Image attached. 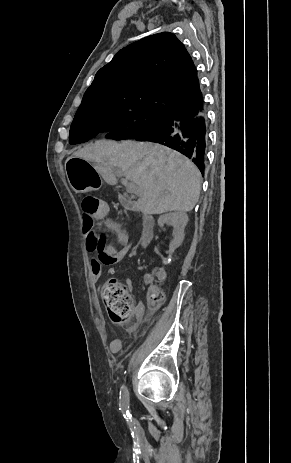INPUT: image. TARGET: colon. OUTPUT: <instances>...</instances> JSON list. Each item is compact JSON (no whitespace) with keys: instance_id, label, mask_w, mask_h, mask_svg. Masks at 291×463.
I'll use <instances>...</instances> for the list:
<instances>
[{"instance_id":"5ec220e1","label":"colon","mask_w":291,"mask_h":463,"mask_svg":"<svg viewBox=\"0 0 291 463\" xmlns=\"http://www.w3.org/2000/svg\"><path fill=\"white\" fill-rule=\"evenodd\" d=\"M82 212L84 220L83 229L93 230L98 226V220L106 212L105 203L96 197H85L82 200ZM156 276L162 280L164 273L158 271ZM102 299L112 321L122 324L130 320L132 315V297L127 287L118 280L109 279L102 288ZM148 304L151 308H157L164 300L163 292L156 288L148 292Z\"/></svg>"}]
</instances>
